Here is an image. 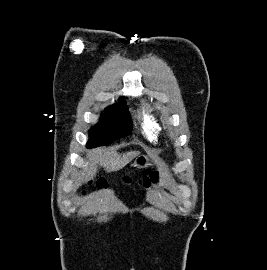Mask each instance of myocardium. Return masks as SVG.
Instances as JSON below:
<instances>
[{"mask_svg":"<svg viewBox=\"0 0 267 270\" xmlns=\"http://www.w3.org/2000/svg\"><path fill=\"white\" fill-rule=\"evenodd\" d=\"M168 133H169V135H173L174 134L172 128H168Z\"/></svg>","mask_w":267,"mask_h":270,"instance_id":"obj_1","label":"myocardium"}]
</instances>
